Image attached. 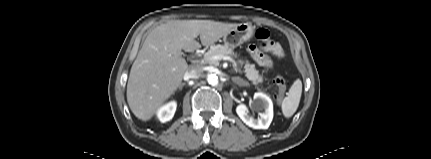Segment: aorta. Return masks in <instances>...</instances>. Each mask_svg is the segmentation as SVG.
Masks as SVG:
<instances>
[{"instance_id": "1", "label": "aorta", "mask_w": 431, "mask_h": 159, "mask_svg": "<svg viewBox=\"0 0 431 159\" xmlns=\"http://www.w3.org/2000/svg\"><path fill=\"white\" fill-rule=\"evenodd\" d=\"M207 81L210 85L216 86L218 84V77L215 74H209L207 76Z\"/></svg>"}]
</instances>
